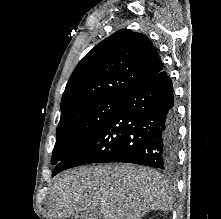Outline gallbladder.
I'll return each mask as SVG.
<instances>
[{
	"mask_svg": "<svg viewBox=\"0 0 221 219\" xmlns=\"http://www.w3.org/2000/svg\"><path fill=\"white\" fill-rule=\"evenodd\" d=\"M100 211L98 208H95L93 210L90 211H86L84 213L81 214V219H98V217L100 216Z\"/></svg>",
	"mask_w": 221,
	"mask_h": 219,
	"instance_id": "gallbladder-1",
	"label": "gallbladder"
}]
</instances>
